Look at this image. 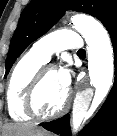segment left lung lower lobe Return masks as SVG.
I'll use <instances>...</instances> for the list:
<instances>
[{
  "label": "left lung lower lobe",
  "mask_w": 117,
  "mask_h": 136,
  "mask_svg": "<svg viewBox=\"0 0 117 136\" xmlns=\"http://www.w3.org/2000/svg\"><path fill=\"white\" fill-rule=\"evenodd\" d=\"M110 34L115 63V80L113 87L92 121L79 133L78 136H115L116 135V116H117V14L105 25ZM69 115L62 118L40 124L46 130L70 136Z\"/></svg>",
  "instance_id": "0a47b994"
}]
</instances>
